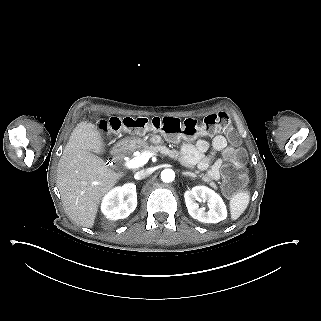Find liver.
Here are the masks:
<instances>
[{"mask_svg": "<svg viewBox=\"0 0 321 321\" xmlns=\"http://www.w3.org/2000/svg\"><path fill=\"white\" fill-rule=\"evenodd\" d=\"M103 139L95 125L77 124L57 168V186L66 214L77 224L91 228L102 197L122 176L94 153L103 152Z\"/></svg>", "mask_w": 321, "mask_h": 321, "instance_id": "liver-1", "label": "liver"}]
</instances>
